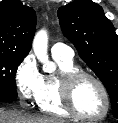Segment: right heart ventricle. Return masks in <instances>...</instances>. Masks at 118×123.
<instances>
[{"instance_id": "right-heart-ventricle-1", "label": "right heart ventricle", "mask_w": 118, "mask_h": 123, "mask_svg": "<svg viewBox=\"0 0 118 123\" xmlns=\"http://www.w3.org/2000/svg\"><path fill=\"white\" fill-rule=\"evenodd\" d=\"M59 66V74L45 75L42 77L41 89L36 99L40 111L59 117H67L70 113L63 107L60 94L58 78L67 71L77 70L73 61L54 58Z\"/></svg>"}]
</instances>
